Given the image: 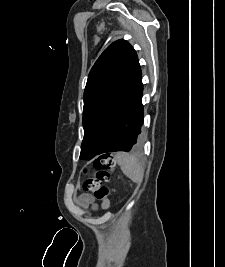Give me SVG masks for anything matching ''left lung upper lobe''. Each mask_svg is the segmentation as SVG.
<instances>
[{"label": "left lung upper lobe", "instance_id": "obj_1", "mask_svg": "<svg viewBox=\"0 0 225 267\" xmlns=\"http://www.w3.org/2000/svg\"><path fill=\"white\" fill-rule=\"evenodd\" d=\"M138 67L137 54L125 40L110 44L93 65L84 91L81 159H92L106 143L122 98ZM142 141L141 133L135 149Z\"/></svg>", "mask_w": 225, "mask_h": 267}]
</instances>
